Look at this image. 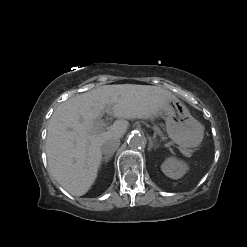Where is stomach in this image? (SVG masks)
Returning <instances> with one entry per match:
<instances>
[{"label": "stomach", "mask_w": 247, "mask_h": 247, "mask_svg": "<svg viewBox=\"0 0 247 247\" xmlns=\"http://www.w3.org/2000/svg\"><path fill=\"white\" fill-rule=\"evenodd\" d=\"M169 137L183 149L198 147L204 138V127L177 98L167 101L163 109Z\"/></svg>", "instance_id": "stomach-1"}]
</instances>
